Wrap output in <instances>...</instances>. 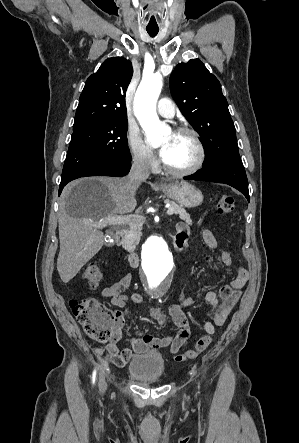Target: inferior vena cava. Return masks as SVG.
<instances>
[{
  "mask_svg": "<svg viewBox=\"0 0 299 443\" xmlns=\"http://www.w3.org/2000/svg\"><path fill=\"white\" fill-rule=\"evenodd\" d=\"M150 159L145 154L135 156L125 189L128 194L134 196L139 185L149 177Z\"/></svg>",
  "mask_w": 299,
  "mask_h": 443,
  "instance_id": "obj_1",
  "label": "inferior vena cava"
}]
</instances>
